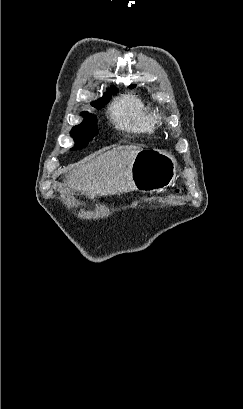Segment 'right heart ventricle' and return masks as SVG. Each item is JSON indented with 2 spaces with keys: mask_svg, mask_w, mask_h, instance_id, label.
Wrapping results in <instances>:
<instances>
[{
  "mask_svg": "<svg viewBox=\"0 0 243 409\" xmlns=\"http://www.w3.org/2000/svg\"><path fill=\"white\" fill-rule=\"evenodd\" d=\"M156 108L135 95H124L111 107V120L121 130L152 135L157 130Z\"/></svg>",
  "mask_w": 243,
  "mask_h": 409,
  "instance_id": "right-heart-ventricle-1",
  "label": "right heart ventricle"
}]
</instances>
